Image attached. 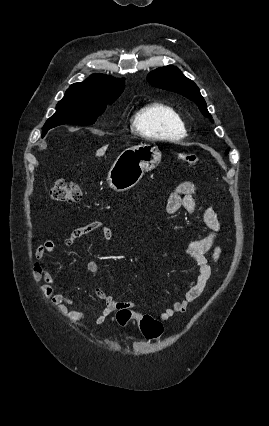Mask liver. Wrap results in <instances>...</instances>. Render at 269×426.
<instances>
[{
	"instance_id": "obj_1",
	"label": "liver",
	"mask_w": 269,
	"mask_h": 426,
	"mask_svg": "<svg viewBox=\"0 0 269 426\" xmlns=\"http://www.w3.org/2000/svg\"><path fill=\"white\" fill-rule=\"evenodd\" d=\"M105 151H106V147H103V148L99 149L96 152V156H103L105 154Z\"/></svg>"
}]
</instances>
